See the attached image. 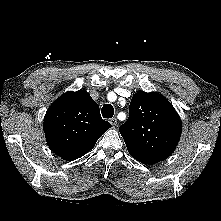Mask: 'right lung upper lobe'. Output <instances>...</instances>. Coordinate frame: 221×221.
<instances>
[{"label":"right lung upper lobe","mask_w":221,"mask_h":221,"mask_svg":"<svg viewBox=\"0 0 221 221\" xmlns=\"http://www.w3.org/2000/svg\"><path fill=\"white\" fill-rule=\"evenodd\" d=\"M110 127L85 90L66 92L51 104L44 117L49 148L68 161L88 153Z\"/></svg>","instance_id":"cb5924a9"}]
</instances>
